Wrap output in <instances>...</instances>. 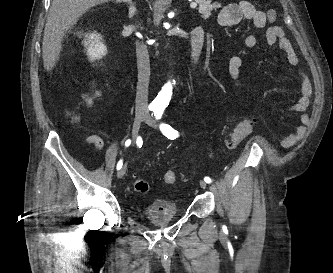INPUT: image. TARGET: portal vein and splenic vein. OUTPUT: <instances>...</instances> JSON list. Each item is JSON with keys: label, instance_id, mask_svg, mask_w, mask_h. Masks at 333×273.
Segmentation results:
<instances>
[{"label": "portal vein and splenic vein", "instance_id": "portal-vein-and-splenic-vein-1", "mask_svg": "<svg viewBox=\"0 0 333 273\" xmlns=\"http://www.w3.org/2000/svg\"><path fill=\"white\" fill-rule=\"evenodd\" d=\"M190 7H191V8H196V7H197V3H191V4H190Z\"/></svg>", "mask_w": 333, "mask_h": 273}]
</instances>
